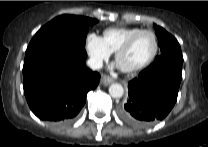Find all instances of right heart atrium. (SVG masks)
I'll use <instances>...</instances> for the list:
<instances>
[{
	"label": "right heart atrium",
	"instance_id": "obj_1",
	"mask_svg": "<svg viewBox=\"0 0 208 147\" xmlns=\"http://www.w3.org/2000/svg\"><path fill=\"white\" fill-rule=\"evenodd\" d=\"M86 48L91 61L95 65L101 64L111 55V51L106 46L103 38L94 33L88 34Z\"/></svg>",
	"mask_w": 208,
	"mask_h": 147
}]
</instances>
